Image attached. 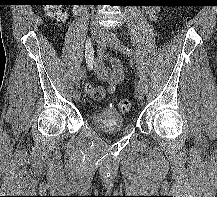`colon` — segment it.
<instances>
[{"instance_id": "obj_1", "label": "colon", "mask_w": 217, "mask_h": 197, "mask_svg": "<svg viewBox=\"0 0 217 197\" xmlns=\"http://www.w3.org/2000/svg\"><path fill=\"white\" fill-rule=\"evenodd\" d=\"M45 9L47 14L58 22H63L66 19L65 10L56 3L55 0H44ZM87 92L93 91V95L96 99L103 95L101 90H95L92 86L88 85L86 87ZM118 108L121 112H128L131 109V102L127 99H122L118 101Z\"/></svg>"}]
</instances>
